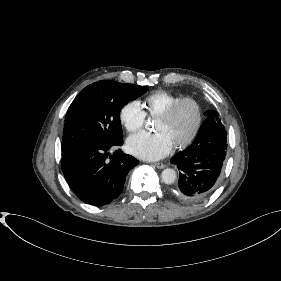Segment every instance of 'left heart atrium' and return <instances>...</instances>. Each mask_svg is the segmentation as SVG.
Wrapping results in <instances>:
<instances>
[{"label":"left heart atrium","instance_id":"obj_1","mask_svg":"<svg viewBox=\"0 0 281 281\" xmlns=\"http://www.w3.org/2000/svg\"><path fill=\"white\" fill-rule=\"evenodd\" d=\"M128 151L134 156L155 161L170 153L172 143L162 132H140L128 138L126 143Z\"/></svg>","mask_w":281,"mask_h":281}]
</instances>
